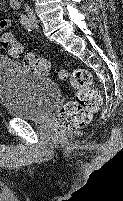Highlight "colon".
I'll list each match as a JSON object with an SVG mask.
<instances>
[{
    "label": "colon",
    "instance_id": "obj_1",
    "mask_svg": "<svg viewBox=\"0 0 123 201\" xmlns=\"http://www.w3.org/2000/svg\"><path fill=\"white\" fill-rule=\"evenodd\" d=\"M2 48L12 56L22 57L29 70L41 75L51 73L52 67L47 59L36 54H23L22 46L11 34L4 36ZM59 76L62 79H69L73 88L76 89V97L73 101L64 104L56 115L52 128V136L55 139L64 138L88 125L102 103L101 95L94 87L92 76L88 70L78 69L71 73L61 71Z\"/></svg>",
    "mask_w": 123,
    "mask_h": 201
}]
</instances>
